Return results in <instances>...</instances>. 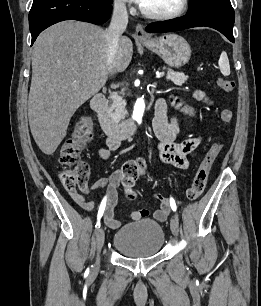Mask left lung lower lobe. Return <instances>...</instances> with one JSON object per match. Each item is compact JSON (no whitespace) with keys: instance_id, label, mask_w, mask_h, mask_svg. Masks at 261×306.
<instances>
[{"instance_id":"left-lung-lower-lobe-1","label":"left lung lower lobe","mask_w":261,"mask_h":306,"mask_svg":"<svg viewBox=\"0 0 261 306\" xmlns=\"http://www.w3.org/2000/svg\"><path fill=\"white\" fill-rule=\"evenodd\" d=\"M234 20V10L232 6H229L199 13H187V15L179 18L154 22L146 27V31L151 33H160L206 26L218 30L225 35L228 40L234 42Z\"/></svg>"}]
</instances>
